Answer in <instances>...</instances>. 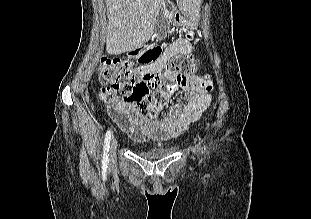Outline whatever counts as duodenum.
<instances>
[{"label":"duodenum","instance_id":"1","mask_svg":"<svg viewBox=\"0 0 311 219\" xmlns=\"http://www.w3.org/2000/svg\"><path fill=\"white\" fill-rule=\"evenodd\" d=\"M172 6L170 5V4H166L165 6H164V11L166 12V13H170V12H172Z\"/></svg>","mask_w":311,"mask_h":219}]
</instances>
